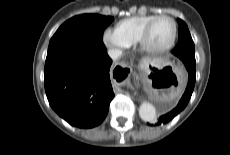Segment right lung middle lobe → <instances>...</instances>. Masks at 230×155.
Listing matches in <instances>:
<instances>
[{"label":"right lung middle lobe","instance_id":"1","mask_svg":"<svg viewBox=\"0 0 230 155\" xmlns=\"http://www.w3.org/2000/svg\"><path fill=\"white\" fill-rule=\"evenodd\" d=\"M110 16L83 14L63 23L50 40L47 57L70 50H104L102 36Z\"/></svg>","mask_w":230,"mask_h":155}]
</instances>
